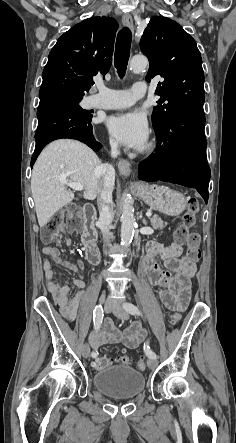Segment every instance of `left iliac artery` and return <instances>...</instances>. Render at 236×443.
<instances>
[{
  "mask_svg": "<svg viewBox=\"0 0 236 443\" xmlns=\"http://www.w3.org/2000/svg\"><path fill=\"white\" fill-rule=\"evenodd\" d=\"M123 307L128 313H130L132 315H140L141 314V312L139 311L137 306L130 303V302L124 303ZM144 352L149 358H154V359L157 358V355L148 346V341L146 343H144Z\"/></svg>",
  "mask_w": 236,
  "mask_h": 443,
  "instance_id": "obj_1",
  "label": "left iliac artery"
}]
</instances>
